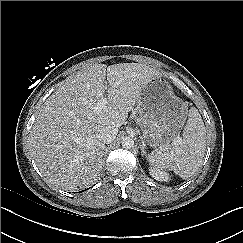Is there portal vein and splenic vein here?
<instances>
[{
	"label": "portal vein and splenic vein",
	"mask_w": 243,
	"mask_h": 243,
	"mask_svg": "<svg viewBox=\"0 0 243 243\" xmlns=\"http://www.w3.org/2000/svg\"><path fill=\"white\" fill-rule=\"evenodd\" d=\"M108 103V100L106 97L102 98L96 105L95 107L93 108L94 111H100L101 109H103L106 104Z\"/></svg>",
	"instance_id": "obj_1"
}]
</instances>
